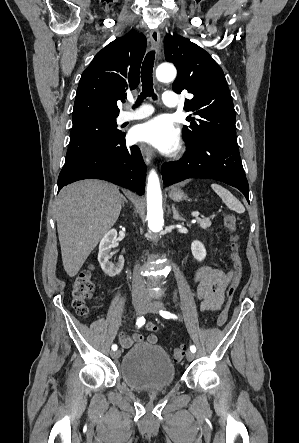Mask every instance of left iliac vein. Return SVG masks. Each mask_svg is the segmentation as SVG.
Returning <instances> with one entry per match:
<instances>
[{"mask_svg": "<svg viewBox=\"0 0 299 443\" xmlns=\"http://www.w3.org/2000/svg\"><path fill=\"white\" fill-rule=\"evenodd\" d=\"M163 308L162 303L160 302H147L146 309L144 313H158L160 309ZM195 355L192 351H187L186 358L188 361H192L194 359Z\"/></svg>", "mask_w": 299, "mask_h": 443, "instance_id": "left-iliac-vein-1", "label": "left iliac vein"}]
</instances>
